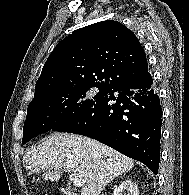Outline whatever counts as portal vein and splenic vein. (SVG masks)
Segmentation results:
<instances>
[{"mask_svg":"<svg viewBox=\"0 0 189 195\" xmlns=\"http://www.w3.org/2000/svg\"><path fill=\"white\" fill-rule=\"evenodd\" d=\"M69 179L73 182L75 187H81L85 184V180L74 175V174H69Z\"/></svg>","mask_w":189,"mask_h":195,"instance_id":"obj_1","label":"portal vein and splenic vein"}]
</instances>
